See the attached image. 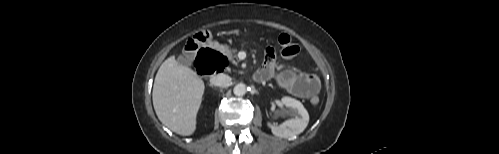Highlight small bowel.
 Instances as JSON below:
<instances>
[{"label":"small bowel","mask_w":499,"mask_h":154,"mask_svg":"<svg viewBox=\"0 0 499 154\" xmlns=\"http://www.w3.org/2000/svg\"><path fill=\"white\" fill-rule=\"evenodd\" d=\"M258 73L261 75L262 81L275 76V54L272 48L267 49L266 61ZM276 80L281 88L300 98L316 96L321 87L320 80L316 75L297 72L293 69L278 73Z\"/></svg>","instance_id":"1"}]
</instances>
